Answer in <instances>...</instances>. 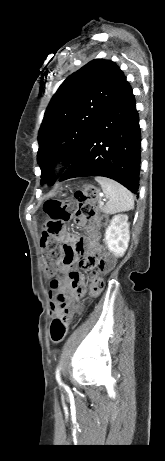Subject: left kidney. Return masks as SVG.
<instances>
[{"label": "left kidney", "mask_w": 165, "mask_h": 461, "mask_svg": "<svg viewBox=\"0 0 165 461\" xmlns=\"http://www.w3.org/2000/svg\"><path fill=\"white\" fill-rule=\"evenodd\" d=\"M129 239L128 216L126 214L115 215L105 233L108 249L121 257L128 248Z\"/></svg>", "instance_id": "5707ae66"}]
</instances>
